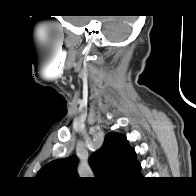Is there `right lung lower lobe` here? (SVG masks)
I'll return each mask as SVG.
<instances>
[{"instance_id": "right-lung-lower-lobe-1", "label": "right lung lower lobe", "mask_w": 196, "mask_h": 196, "mask_svg": "<svg viewBox=\"0 0 196 196\" xmlns=\"http://www.w3.org/2000/svg\"><path fill=\"white\" fill-rule=\"evenodd\" d=\"M137 178H141V175H140V176H138Z\"/></svg>"}]
</instances>
